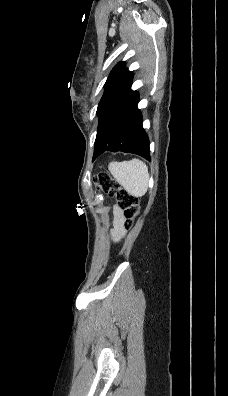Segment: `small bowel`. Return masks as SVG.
<instances>
[{
	"label": "small bowel",
	"instance_id": "obj_1",
	"mask_svg": "<svg viewBox=\"0 0 228 396\" xmlns=\"http://www.w3.org/2000/svg\"><path fill=\"white\" fill-rule=\"evenodd\" d=\"M123 216L118 208L114 210V229L112 236L114 239H119L123 235Z\"/></svg>",
	"mask_w": 228,
	"mask_h": 396
}]
</instances>
